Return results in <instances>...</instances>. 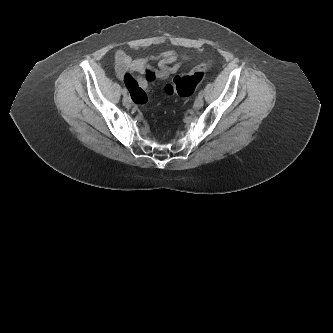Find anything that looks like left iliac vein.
I'll use <instances>...</instances> for the list:
<instances>
[{
  "mask_svg": "<svg viewBox=\"0 0 333 333\" xmlns=\"http://www.w3.org/2000/svg\"><path fill=\"white\" fill-rule=\"evenodd\" d=\"M203 103H204L203 97L198 96L194 102V109L196 110L200 109L203 106Z\"/></svg>",
  "mask_w": 333,
  "mask_h": 333,
  "instance_id": "4c4485c4",
  "label": "left iliac vein"
}]
</instances>
